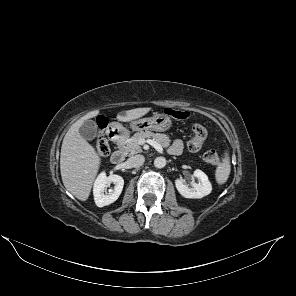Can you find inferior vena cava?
Wrapping results in <instances>:
<instances>
[{"label":"inferior vena cava","mask_w":296,"mask_h":296,"mask_svg":"<svg viewBox=\"0 0 296 296\" xmlns=\"http://www.w3.org/2000/svg\"><path fill=\"white\" fill-rule=\"evenodd\" d=\"M144 161H145L144 156L135 155V156H131L127 162L130 167L136 168V167L143 165Z\"/></svg>","instance_id":"inferior-vena-cava-1"}]
</instances>
